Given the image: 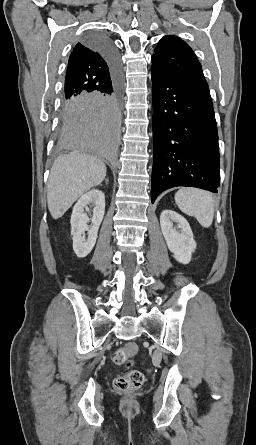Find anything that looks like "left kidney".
<instances>
[{"label": "left kidney", "instance_id": "1", "mask_svg": "<svg viewBox=\"0 0 256 445\" xmlns=\"http://www.w3.org/2000/svg\"><path fill=\"white\" fill-rule=\"evenodd\" d=\"M160 226L168 249L174 258L188 264L192 252L196 249V242L188 221L173 210H164L160 215Z\"/></svg>", "mask_w": 256, "mask_h": 445}]
</instances>
